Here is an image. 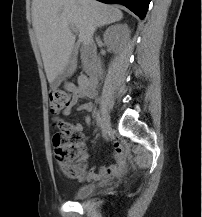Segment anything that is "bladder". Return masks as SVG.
I'll return each mask as SVG.
<instances>
[{
  "label": "bladder",
  "mask_w": 202,
  "mask_h": 217,
  "mask_svg": "<svg viewBox=\"0 0 202 217\" xmlns=\"http://www.w3.org/2000/svg\"><path fill=\"white\" fill-rule=\"evenodd\" d=\"M94 190V185L92 184H85L80 186L73 194V200H83L91 195Z\"/></svg>",
  "instance_id": "31cf9c89"
}]
</instances>
